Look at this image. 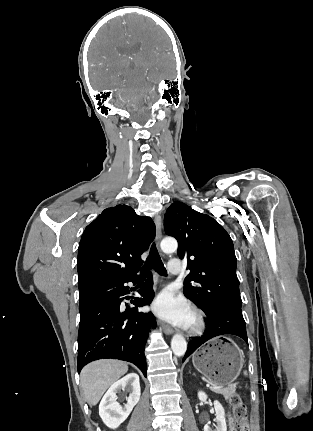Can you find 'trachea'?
<instances>
[{"label":"trachea","mask_w":313,"mask_h":431,"mask_svg":"<svg viewBox=\"0 0 313 431\" xmlns=\"http://www.w3.org/2000/svg\"><path fill=\"white\" fill-rule=\"evenodd\" d=\"M152 268H154V270L160 275H167L166 269L159 256L155 243L152 244L149 256L142 268L141 278L144 279L147 275V272Z\"/></svg>","instance_id":"obj_1"}]
</instances>
